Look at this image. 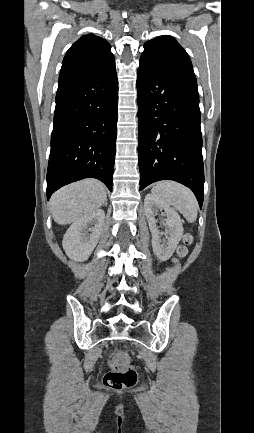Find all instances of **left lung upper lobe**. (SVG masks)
<instances>
[{"label": "left lung upper lobe", "instance_id": "5c2ea615", "mask_svg": "<svg viewBox=\"0 0 254 433\" xmlns=\"http://www.w3.org/2000/svg\"><path fill=\"white\" fill-rule=\"evenodd\" d=\"M140 59L196 81L188 54L171 36L164 35L147 41Z\"/></svg>", "mask_w": 254, "mask_h": 433}]
</instances>
